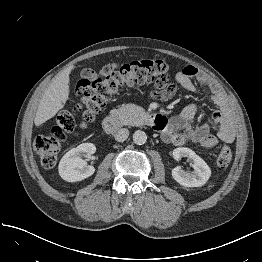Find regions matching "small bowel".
I'll return each mask as SVG.
<instances>
[{"instance_id":"small-bowel-1","label":"small bowel","mask_w":262,"mask_h":262,"mask_svg":"<svg viewBox=\"0 0 262 262\" xmlns=\"http://www.w3.org/2000/svg\"><path fill=\"white\" fill-rule=\"evenodd\" d=\"M193 79L205 85L210 90V100L215 105L216 110L212 114V120L220 127L218 135L210 134L207 124L194 127V118L197 114V106L189 105L183 111L174 117L167 127L164 119L159 126L162 127L161 136L164 142L176 146L183 145L186 142H193L207 149H213L218 139L231 143L234 140V128L231 119L229 103L225 94L197 67L188 65L175 75L176 83H171L165 90L156 92L154 95L162 101L170 99L177 91L178 85L188 89L194 94L198 90L193 83Z\"/></svg>"}]
</instances>
